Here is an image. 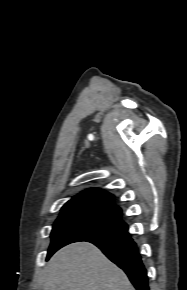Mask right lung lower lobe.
<instances>
[{
    "label": "right lung lower lobe",
    "mask_w": 187,
    "mask_h": 290,
    "mask_svg": "<svg viewBox=\"0 0 187 290\" xmlns=\"http://www.w3.org/2000/svg\"><path fill=\"white\" fill-rule=\"evenodd\" d=\"M87 241L99 247L112 262L123 269L136 290H149L147 271L127 229Z\"/></svg>",
    "instance_id": "98d812e1"
}]
</instances>
